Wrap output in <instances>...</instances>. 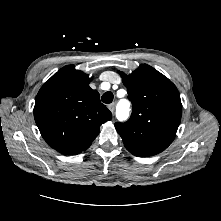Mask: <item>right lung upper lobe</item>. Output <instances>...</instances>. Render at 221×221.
<instances>
[{
    "label": "right lung upper lobe",
    "instance_id": "obj_1",
    "mask_svg": "<svg viewBox=\"0 0 221 221\" xmlns=\"http://www.w3.org/2000/svg\"><path fill=\"white\" fill-rule=\"evenodd\" d=\"M91 78L68 65L39 90L34 118L44 140L56 151L76 155L89 148L112 113L90 88Z\"/></svg>",
    "mask_w": 221,
    "mask_h": 221
}]
</instances>
